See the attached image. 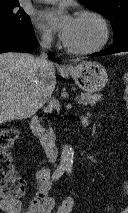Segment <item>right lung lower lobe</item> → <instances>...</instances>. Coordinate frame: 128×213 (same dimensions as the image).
<instances>
[{"instance_id":"right-lung-lower-lobe-1","label":"right lung lower lobe","mask_w":128,"mask_h":213,"mask_svg":"<svg viewBox=\"0 0 128 213\" xmlns=\"http://www.w3.org/2000/svg\"><path fill=\"white\" fill-rule=\"evenodd\" d=\"M37 44L32 27L27 30L0 31V53H27L34 50ZM49 56L54 57L51 53Z\"/></svg>"}]
</instances>
